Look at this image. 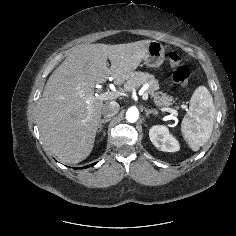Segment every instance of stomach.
<instances>
[{"label": "stomach", "instance_id": "stomach-1", "mask_svg": "<svg viewBox=\"0 0 236 236\" xmlns=\"http://www.w3.org/2000/svg\"><path fill=\"white\" fill-rule=\"evenodd\" d=\"M165 57V49L158 41H151L147 47L145 57L143 58L144 64L149 67L157 68L162 65Z\"/></svg>", "mask_w": 236, "mask_h": 236}]
</instances>
